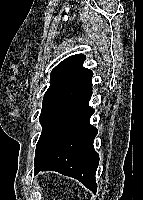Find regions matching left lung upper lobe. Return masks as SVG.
<instances>
[{
	"label": "left lung upper lobe",
	"mask_w": 143,
	"mask_h": 200,
	"mask_svg": "<svg viewBox=\"0 0 143 200\" xmlns=\"http://www.w3.org/2000/svg\"><path fill=\"white\" fill-rule=\"evenodd\" d=\"M86 57L83 54L72 55L60 62L51 72V84L43 98V106L61 90L73 82L85 68L82 66Z\"/></svg>",
	"instance_id": "1"
}]
</instances>
